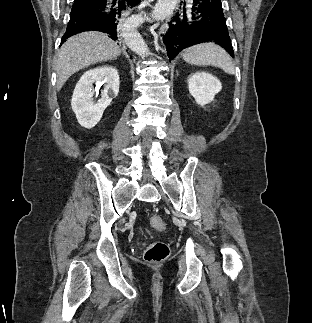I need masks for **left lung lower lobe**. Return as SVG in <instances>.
Wrapping results in <instances>:
<instances>
[{"mask_svg": "<svg viewBox=\"0 0 312 323\" xmlns=\"http://www.w3.org/2000/svg\"><path fill=\"white\" fill-rule=\"evenodd\" d=\"M163 42L169 59L203 42H215L234 57L221 0H193L188 8L184 3L183 10L176 12L165 27Z\"/></svg>", "mask_w": 312, "mask_h": 323, "instance_id": "left-lung-lower-lobe-1", "label": "left lung lower lobe"}]
</instances>
